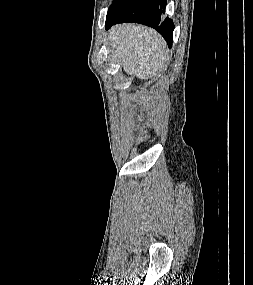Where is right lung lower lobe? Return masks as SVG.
I'll return each instance as SVG.
<instances>
[{"instance_id": "1", "label": "right lung lower lobe", "mask_w": 253, "mask_h": 285, "mask_svg": "<svg viewBox=\"0 0 253 285\" xmlns=\"http://www.w3.org/2000/svg\"><path fill=\"white\" fill-rule=\"evenodd\" d=\"M165 7L166 0H115L106 16V29L117 23H141L155 28L171 47L174 24L169 18L162 19Z\"/></svg>"}]
</instances>
